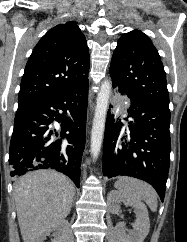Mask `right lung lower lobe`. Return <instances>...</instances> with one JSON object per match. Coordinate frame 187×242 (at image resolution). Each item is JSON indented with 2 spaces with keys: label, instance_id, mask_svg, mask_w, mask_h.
<instances>
[{
  "label": "right lung lower lobe",
  "instance_id": "98d812e1",
  "mask_svg": "<svg viewBox=\"0 0 187 242\" xmlns=\"http://www.w3.org/2000/svg\"><path fill=\"white\" fill-rule=\"evenodd\" d=\"M88 81L74 88L19 105L10 141L11 176L55 169L80 186L85 146ZM56 121L58 128H51Z\"/></svg>",
  "mask_w": 187,
  "mask_h": 242
}]
</instances>
